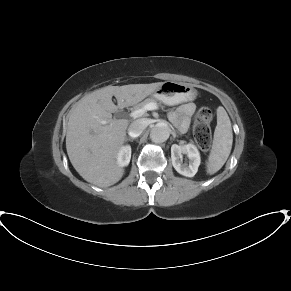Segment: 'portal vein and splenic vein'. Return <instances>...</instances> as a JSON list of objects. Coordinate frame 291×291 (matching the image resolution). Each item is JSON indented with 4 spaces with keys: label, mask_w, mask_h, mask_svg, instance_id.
I'll list each match as a JSON object with an SVG mask.
<instances>
[{
    "label": "portal vein and splenic vein",
    "mask_w": 291,
    "mask_h": 291,
    "mask_svg": "<svg viewBox=\"0 0 291 291\" xmlns=\"http://www.w3.org/2000/svg\"><path fill=\"white\" fill-rule=\"evenodd\" d=\"M157 108H158L157 103L151 102V103L146 104L142 108L134 110L133 112H131L130 117L138 118V117L143 116L147 111L156 110Z\"/></svg>",
    "instance_id": "portal-vein-and-splenic-vein-1"
}]
</instances>
